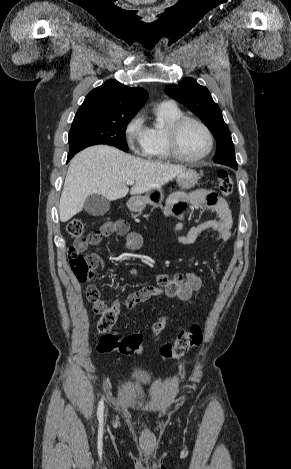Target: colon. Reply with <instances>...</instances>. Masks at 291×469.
I'll return each mask as SVG.
<instances>
[{"instance_id": "colon-1", "label": "colon", "mask_w": 291, "mask_h": 469, "mask_svg": "<svg viewBox=\"0 0 291 469\" xmlns=\"http://www.w3.org/2000/svg\"><path fill=\"white\" fill-rule=\"evenodd\" d=\"M218 189L224 197L229 196L233 191V180L229 172L220 169L217 172ZM86 224L81 218L72 219L67 226L68 233L77 239L74 246L68 251V259L70 266L81 283H88L93 277L94 264L88 256L82 253V249L102 238V231L98 229L85 235ZM86 296L89 301L94 302L98 299L97 289L94 285H88ZM119 303L123 302L122 298L118 299ZM122 307L115 304L112 308L103 309L99 312L101 315L97 329L99 336L96 342V349L100 353H111L118 351L124 355H140L143 353L142 336L140 334H130L123 338L110 333L114 325L117 314ZM167 325V317L161 316L153 324L152 330L154 335L159 336ZM203 340V327L199 324L192 325L189 329L181 330L177 334L174 343H165L160 347V354L165 359H179L189 349L197 347Z\"/></svg>"}]
</instances>
